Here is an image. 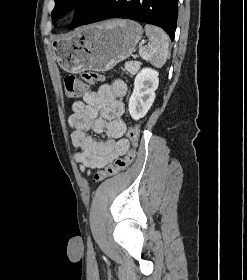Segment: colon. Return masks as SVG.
Returning a JSON list of instances; mask_svg holds the SVG:
<instances>
[{"label":"colon","mask_w":247,"mask_h":280,"mask_svg":"<svg viewBox=\"0 0 247 280\" xmlns=\"http://www.w3.org/2000/svg\"><path fill=\"white\" fill-rule=\"evenodd\" d=\"M102 76L92 72H83L80 76L67 75L64 78V91L68 98H78L86 92L89 85L95 81L101 80ZM127 138L131 144V148L124 157L117 158L113 163L108 164L104 169L98 171L94 178L96 181H103L109 177L126 170L136 158V149L140 139V129L136 125L129 127Z\"/></svg>","instance_id":"colon-1"}]
</instances>
